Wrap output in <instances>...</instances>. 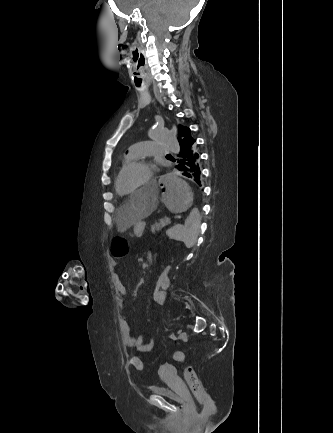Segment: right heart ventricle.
I'll use <instances>...</instances> for the list:
<instances>
[{"label":"right heart ventricle","instance_id":"right-heart-ventricle-1","mask_svg":"<svg viewBox=\"0 0 333 433\" xmlns=\"http://www.w3.org/2000/svg\"><path fill=\"white\" fill-rule=\"evenodd\" d=\"M134 159H135V157H133L129 152H127V153L123 156V158L121 159L120 167H119L118 173H117L116 178H115V190H116V179H117V176L119 175V173L121 172V170H122V169H123L127 164H129L130 162H132ZM116 192H117V190H116ZM117 193H118V192H117ZM118 195H120V194L118 193ZM120 196H123V195H120Z\"/></svg>","mask_w":333,"mask_h":433}]
</instances>
